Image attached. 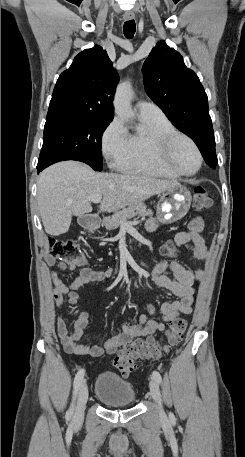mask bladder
Returning <instances> with one entry per match:
<instances>
[{"label": "bladder", "instance_id": "obj_1", "mask_svg": "<svg viewBox=\"0 0 245 457\" xmlns=\"http://www.w3.org/2000/svg\"><path fill=\"white\" fill-rule=\"evenodd\" d=\"M96 397L106 406H131L135 403L132 384L111 373L100 375L96 385Z\"/></svg>", "mask_w": 245, "mask_h": 457}]
</instances>
